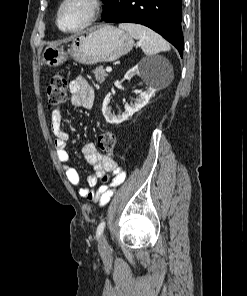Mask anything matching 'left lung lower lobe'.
Here are the masks:
<instances>
[{
    "mask_svg": "<svg viewBox=\"0 0 247 296\" xmlns=\"http://www.w3.org/2000/svg\"><path fill=\"white\" fill-rule=\"evenodd\" d=\"M102 17L108 23L145 25L162 35L183 56L182 0H112Z\"/></svg>",
    "mask_w": 247,
    "mask_h": 296,
    "instance_id": "1",
    "label": "left lung lower lobe"
}]
</instances>
